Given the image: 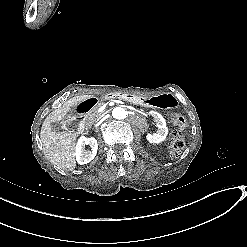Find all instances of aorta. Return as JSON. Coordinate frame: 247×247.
I'll list each match as a JSON object with an SVG mask.
<instances>
[{
	"mask_svg": "<svg viewBox=\"0 0 247 247\" xmlns=\"http://www.w3.org/2000/svg\"><path fill=\"white\" fill-rule=\"evenodd\" d=\"M112 116L115 119H124L126 117V111L122 107H116L112 111Z\"/></svg>",
	"mask_w": 247,
	"mask_h": 247,
	"instance_id": "obj_1",
	"label": "aorta"
}]
</instances>
